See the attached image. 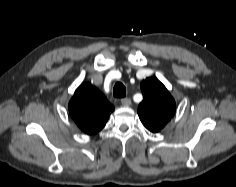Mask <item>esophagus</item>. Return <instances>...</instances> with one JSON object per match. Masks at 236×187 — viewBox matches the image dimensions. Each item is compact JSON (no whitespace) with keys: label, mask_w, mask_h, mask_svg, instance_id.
Here are the masks:
<instances>
[{"label":"esophagus","mask_w":236,"mask_h":187,"mask_svg":"<svg viewBox=\"0 0 236 187\" xmlns=\"http://www.w3.org/2000/svg\"><path fill=\"white\" fill-rule=\"evenodd\" d=\"M121 104L123 106H130L131 105V100L129 98H122L121 99Z\"/></svg>","instance_id":"obj_1"}]
</instances>
